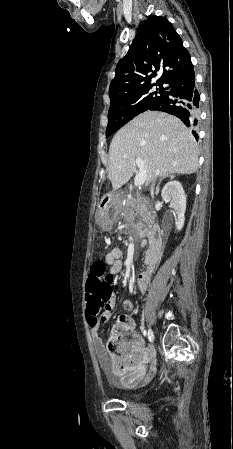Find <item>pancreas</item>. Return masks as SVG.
I'll use <instances>...</instances> for the list:
<instances>
[{
	"mask_svg": "<svg viewBox=\"0 0 233 449\" xmlns=\"http://www.w3.org/2000/svg\"><path fill=\"white\" fill-rule=\"evenodd\" d=\"M123 211V216L130 225L135 226V218H138L136 221L137 226H142L151 222L150 205L147 200L139 194L128 196Z\"/></svg>",
	"mask_w": 233,
	"mask_h": 449,
	"instance_id": "pancreas-1",
	"label": "pancreas"
}]
</instances>
